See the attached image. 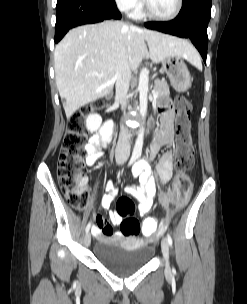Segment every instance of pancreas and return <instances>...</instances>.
Instances as JSON below:
<instances>
[{"label": "pancreas", "instance_id": "pancreas-1", "mask_svg": "<svg viewBox=\"0 0 247 304\" xmlns=\"http://www.w3.org/2000/svg\"><path fill=\"white\" fill-rule=\"evenodd\" d=\"M154 92L157 93L158 98L168 97L170 95L167 81L156 80L154 85Z\"/></svg>", "mask_w": 247, "mask_h": 304}]
</instances>
